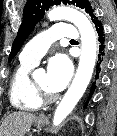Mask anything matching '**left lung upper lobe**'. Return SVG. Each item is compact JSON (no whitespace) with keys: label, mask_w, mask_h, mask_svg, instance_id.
<instances>
[{"label":"left lung upper lobe","mask_w":117,"mask_h":136,"mask_svg":"<svg viewBox=\"0 0 117 136\" xmlns=\"http://www.w3.org/2000/svg\"><path fill=\"white\" fill-rule=\"evenodd\" d=\"M60 3L76 5L84 9L90 15L92 21L93 18L97 19L92 5L87 0H28L24 7L23 22L13 42L12 50L9 55V62L16 56L37 22L44 16L45 10Z\"/></svg>","instance_id":"1"}]
</instances>
